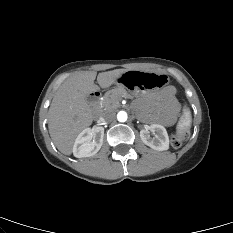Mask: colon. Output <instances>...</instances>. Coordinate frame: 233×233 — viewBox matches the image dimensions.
Here are the masks:
<instances>
[{
  "label": "colon",
  "mask_w": 233,
  "mask_h": 233,
  "mask_svg": "<svg viewBox=\"0 0 233 233\" xmlns=\"http://www.w3.org/2000/svg\"><path fill=\"white\" fill-rule=\"evenodd\" d=\"M187 137V131H180L173 133L170 137V143L174 147H178L182 144L183 140Z\"/></svg>",
  "instance_id": "1"
}]
</instances>
